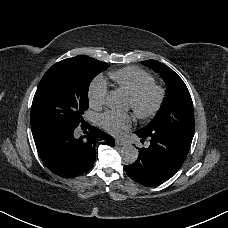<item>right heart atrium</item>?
<instances>
[{
  "label": "right heart atrium",
  "mask_w": 228,
  "mask_h": 228,
  "mask_svg": "<svg viewBox=\"0 0 228 228\" xmlns=\"http://www.w3.org/2000/svg\"><path fill=\"white\" fill-rule=\"evenodd\" d=\"M107 88L102 81L93 84L89 91V105L94 109H100L106 102Z\"/></svg>",
  "instance_id": "d8ad5b80"
}]
</instances>
